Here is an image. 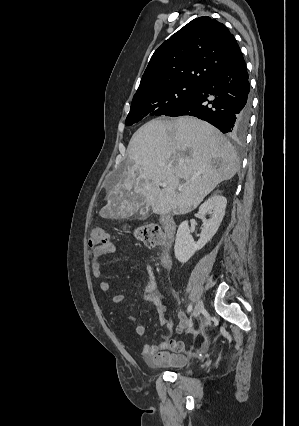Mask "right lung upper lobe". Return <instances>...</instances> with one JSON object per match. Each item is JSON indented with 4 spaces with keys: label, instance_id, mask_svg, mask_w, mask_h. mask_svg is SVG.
Instances as JSON below:
<instances>
[{
    "label": "right lung upper lobe",
    "instance_id": "1",
    "mask_svg": "<svg viewBox=\"0 0 299 426\" xmlns=\"http://www.w3.org/2000/svg\"><path fill=\"white\" fill-rule=\"evenodd\" d=\"M240 54L224 24L207 16L196 18L154 52L133 99L174 84L200 86Z\"/></svg>",
    "mask_w": 299,
    "mask_h": 426
}]
</instances>
